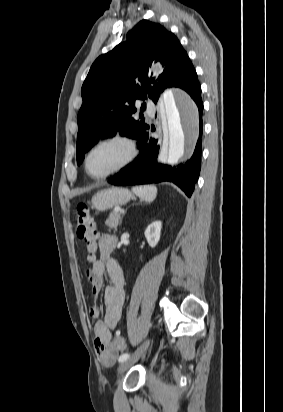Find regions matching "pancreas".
I'll return each instance as SVG.
<instances>
[{
	"label": "pancreas",
	"instance_id": "pancreas-1",
	"mask_svg": "<svg viewBox=\"0 0 283 412\" xmlns=\"http://www.w3.org/2000/svg\"><path fill=\"white\" fill-rule=\"evenodd\" d=\"M121 222V216L119 212H111L109 218L106 220L105 224L110 228L117 230L119 223Z\"/></svg>",
	"mask_w": 283,
	"mask_h": 412
}]
</instances>
